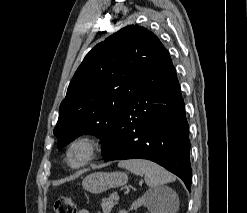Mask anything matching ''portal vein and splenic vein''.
<instances>
[{
	"mask_svg": "<svg viewBox=\"0 0 247 213\" xmlns=\"http://www.w3.org/2000/svg\"><path fill=\"white\" fill-rule=\"evenodd\" d=\"M113 197H114L115 199H117V198H119V194H118V193H115V194H113Z\"/></svg>",
	"mask_w": 247,
	"mask_h": 213,
	"instance_id": "18ae733b",
	"label": "portal vein and splenic vein"
}]
</instances>
